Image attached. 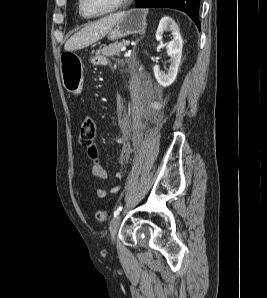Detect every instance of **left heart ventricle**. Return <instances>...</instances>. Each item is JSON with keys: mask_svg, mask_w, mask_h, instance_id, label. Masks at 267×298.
Wrapping results in <instances>:
<instances>
[{"mask_svg": "<svg viewBox=\"0 0 267 298\" xmlns=\"http://www.w3.org/2000/svg\"><path fill=\"white\" fill-rule=\"evenodd\" d=\"M119 0H83V6L89 14H99L113 8Z\"/></svg>", "mask_w": 267, "mask_h": 298, "instance_id": "b2bd125f", "label": "left heart ventricle"}]
</instances>
